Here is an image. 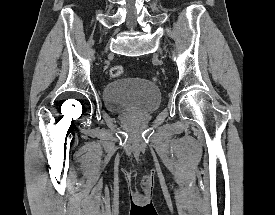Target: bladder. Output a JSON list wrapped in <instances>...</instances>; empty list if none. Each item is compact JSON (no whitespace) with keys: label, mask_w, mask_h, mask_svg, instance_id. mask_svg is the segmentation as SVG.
I'll return each instance as SVG.
<instances>
[{"label":"bladder","mask_w":275,"mask_h":215,"mask_svg":"<svg viewBox=\"0 0 275 215\" xmlns=\"http://www.w3.org/2000/svg\"><path fill=\"white\" fill-rule=\"evenodd\" d=\"M103 101L108 110L116 114H144L159 107L161 94L147 79H115L104 86Z\"/></svg>","instance_id":"obj_1"}]
</instances>
